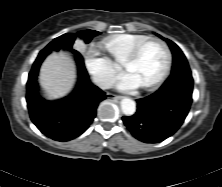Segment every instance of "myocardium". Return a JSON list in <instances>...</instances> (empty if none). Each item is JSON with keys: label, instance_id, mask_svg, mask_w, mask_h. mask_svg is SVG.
Listing matches in <instances>:
<instances>
[{"label": "myocardium", "instance_id": "myocardium-1", "mask_svg": "<svg viewBox=\"0 0 222 187\" xmlns=\"http://www.w3.org/2000/svg\"><path fill=\"white\" fill-rule=\"evenodd\" d=\"M151 43H157L163 47V49L166 53V63H165L164 70L158 79H156L152 83L141 86V88L144 90H154V89L158 88L159 86H161L163 84V82L166 80V78L169 75V72H170V69L172 66V53H171V50H170L169 46L167 45V43L161 39H158V38H148V39L144 40L143 42H141L140 44H138L132 50V52L124 59V61L122 63V67L126 71L127 66L132 64L133 62H135L140 57L143 49L148 44H151Z\"/></svg>", "mask_w": 222, "mask_h": 187}]
</instances>
